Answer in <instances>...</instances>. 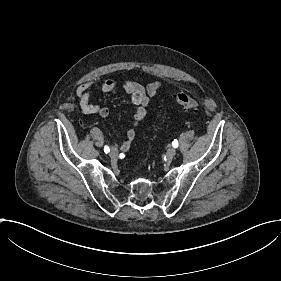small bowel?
I'll use <instances>...</instances> for the list:
<instances>
[{"label":"small bowel","instance_id":"small-bowel-1","mask_svg":"<svg viewBox=\"0 0 281 281\" xmlns=\"http://www.w3.org/2000/svg\"><path fill=\"white\" fill-rule=\"evenodd\" d=\"M94 85V82L89 81L78 86L76 94L79 99L81 110L86 114H96L101 117H107L109 115L108 108L92 104L91 99L94 96L105 95L115 90L116 82L114 80H106L96 88H93ZM161 85L162 83L160 81L150 82L146 87L132 80H125L123 82V89L129 95L133 105L135 106V126H137L145 116L150 98L158 92ZM126 137L127 140L121 144L122 150L128 149L130 143L134 140V129L128 130Z\"/></svg>","mask_w":281,"mask_h":281}]
</instances>
